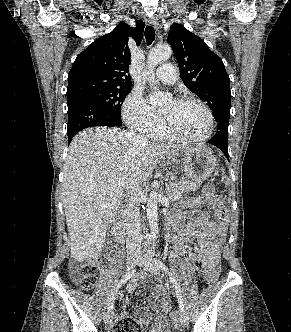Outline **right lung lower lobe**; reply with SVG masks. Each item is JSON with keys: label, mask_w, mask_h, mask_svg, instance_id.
<instances>
[{"label": "right lung lower lobe", "mask_w": 291, "mask_h": 332, "mask_svg": "<svg viewBox=\"0 0 291 332\" xmlns=\"http://www.w3.org/2000/svg\"><path fill=\"white\" fill-rule=\"evenodd\" d=\"M121 120L117 116L99 105L95 101L84 97H77L68 103V141L82 129L93 126H119Z\"/></svg>", "instance_id": "1"}]
</instances>
